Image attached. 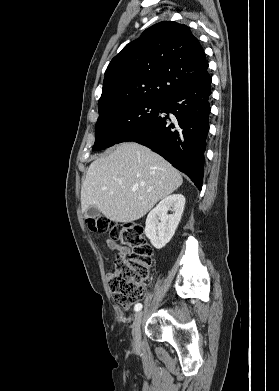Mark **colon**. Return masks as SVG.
I'll return each mask as SVG.
<instances>
[{
    "mask_svg": "<svg viewBox=\"0 0 279 391\" xmlns=\"http://www.w3.org/2000/svg\"><path fill=\"white\" fill-rule=\"evenodd\" d=\"M86 223L90 230L108 232L114 241L131 249L128 256L116 258L115 268L109 276L108 284L114 301L128 308L142 300L153 255L143 226L137 222L116 223L103 217H90Z\"/></svg>",
    "mask_w": 279,
    "mask_h": 391,
    "instance_id": "obj_1",
    "label": "colon"
}]
</instances>
